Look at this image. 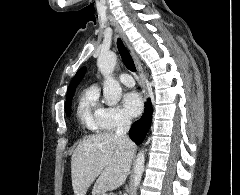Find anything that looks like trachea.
<instances>
[{"instance_id":"trachea-1","label":"trachea","mask_w":240,"mask_h":195,"mask_svg":"<svg viewBox=\"0 0 240 195\" xmlns=\"http://www.w3.org/2000/svg\"><path fill=\"white\" fill-rule=\"evenodd\" d=\"M117 48L125 67L131 72H136L134 61L121 39H117Z\"/></svg>"}]
</instances>
